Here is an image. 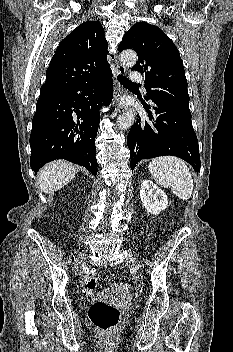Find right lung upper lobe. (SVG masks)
Here are the masks:
<instances>
[{
	"label": "right lung upper lobe",
	"instance_id": "1",
	"mask_svg": "<svg viewBox=\"0 0 233 352\" xmlns=\"http://www.w3.org/2000/svg\"><path fill=\"white\" fill-rule=\"evenodd\" d=\"M107 48L101 23H82L57 47L41 89L66 91L77 83L100 76L110 69Z\"/></svg>",
	"mask_w": 233,
	"mask_h": 352
}]
</instances>
